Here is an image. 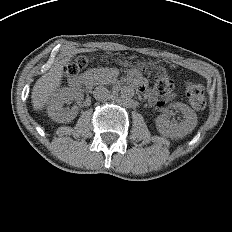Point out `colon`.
Wrapping results in <instances>:
<instances>
[{"mask_svg":"<svg viewBox=\"0 0 232 232\" xmlns=\"http://www.w3.org/2000/svg\"><path fill=\"white\" fill-rule=\"evenodd\" d=\"M87 65V60L84 57H80L66 66V74L69 77H75L83 70ZM155 90L161 96H167L173 89V80L164 70L157 73L155 78ZM187 97L190 104L197 110H202L205 107V91L204 87L199 83H190L187 87Z\"/></svg>","mask_w":232,"mask_h":232,"instance_id":"colon-1","label":"colon"}]
</instances>
